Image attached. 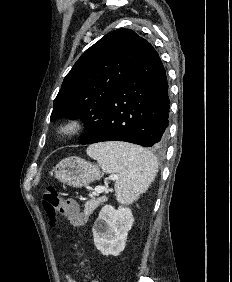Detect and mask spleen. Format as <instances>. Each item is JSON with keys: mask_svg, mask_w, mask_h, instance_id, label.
Returning a JSON list of instances; mask_svg holds the SVG:
<instances>
[{"mask_svg": "<svg viewBox=\"0 0 232 282\" xmlns=\"http://www.w3.org/2000/svg\"><path fill=\"white\" fill-rule=\"evenodd\" d=\"M87 154L97 160L102 170L116 173L117 201L131 204L144 193L158 173V161L148 150L136 145L110 142L88 147Z\"/></svg>", "mask_w": 232, "mask_h": 282, "instance_id": "1", "label": "spleen"}]
</instances>
